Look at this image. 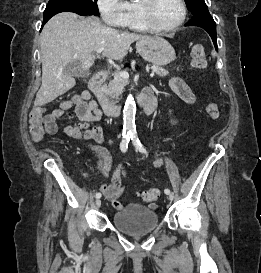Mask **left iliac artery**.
<instances>
[{
  "label": "left iliac artery",
  "mask_w": 261,
  "mask_h": 273,
  "mask_svg": "<svg viewBox=\"0 0 261 273\" xmlns=\"http://www.w3.org/2000/svg\"><path fill=\"white\" fill-rule=\"evenodd\" d=\"M130 137H131V140L134 144V146L136 147L137 150H139L141 153H145L146 154V150L145 148L142 146L138 136H137V131H136V128H132L130 130ZM165 194H169L170 193V190L169 189H165L164 190Z\"/></svg>",
  "instance_id": "1"
}]
</instances>
